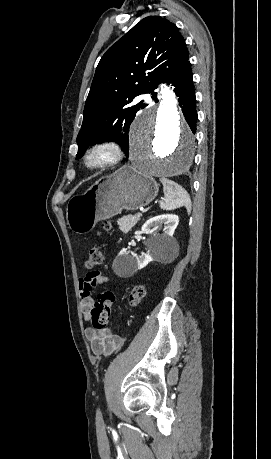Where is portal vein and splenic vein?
Here are the masks:
<instances>
[{"instance_id": "obj_1", "label": "portal vein and splenic vein", "mask_w": 271, "mask_h": 459, "mask_svg": "<svg viewBox=\"0 0 271 459\" xmlns=\"http://www.w3.org/2000/svg\"><path fill=\"white\" fill-rule=\"evenodd\" d=\"M136 216H137V217H142V213H141V211H138V213H137V215H136Z\"/></svg>"}]
</instances>
